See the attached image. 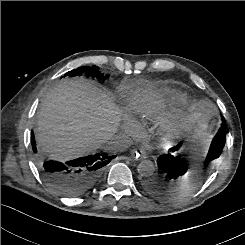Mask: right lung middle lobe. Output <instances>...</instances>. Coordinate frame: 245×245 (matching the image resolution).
Returning a JSON list of instances; mask_svg holds the SVG:
<instances>
[{"instance_id": "dd1d6c3e", "label": "right lung middle lobe", "mask_w": 245, "mask_h": 245, "mask_svg": "<svg viewBox=\"0 0 245 245\" xmlns=\"http://www.w3.org/2000/svg\"><path fill=\"white\" fill-rule=\"evenodd\" d=\"M81 74L86 75L87 77H93V78H98L101 80H105L108 76H104L102 73L99 72V68L95 65H93L92 67L90 66H82L79 67L77 69H74L68 73H66L64 75L65 76H70V77H74V76H79Z\"/></svg>"}]
</instances>
